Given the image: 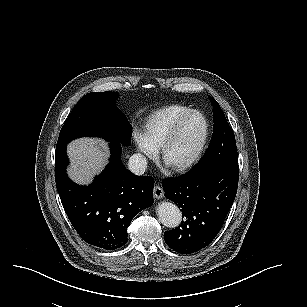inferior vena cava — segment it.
Returning a JSON list of instances; mask_svg holds the SVG:
<instances>
[{"label": "inferior vena cava", "instance_id": "inferior-vena-cava-1", "mask_svg": "<svg viewBox=\"0 0 307 307\" xmlns=\"http://www.w3.org/2000/svg\"><path fill=\"white\" fill-rule=\"evenodd\" d=\"M128 169L135 175H143L147 169L146 157L140 153L131 155L128 160Z\"/></svg>", "mask_w": 307, "mask_h": 307}]
</instances>
